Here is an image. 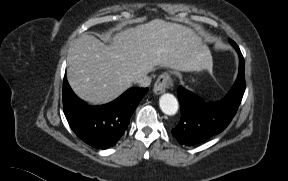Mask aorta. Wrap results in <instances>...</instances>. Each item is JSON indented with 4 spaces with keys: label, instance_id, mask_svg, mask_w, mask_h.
Listing matches in <instances>:
<instances>
[{
    "label": "aorta",
    "instance_id": "obj_1",
    "mask_svg": "<svg viewBox=\"0 0 288 181\" xmlns=\"http://www.w3.org/2000/svg\"><path fill=\"white\" fill-rule=\"evenodd\" d=\"M159 106L166 115H175L178 111V101L176 97L170 93L163 94L159 99Z\"/></svg>",
    "mask_w": 288,
    "mask_h": 181
}]
</instances>
